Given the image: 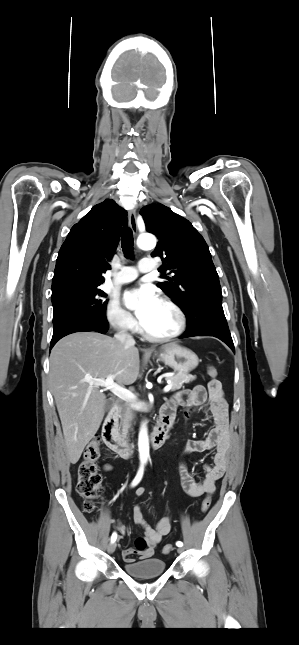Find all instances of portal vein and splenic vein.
Masks as SVG:
<instances>
[{
	"mask_svg": "<svg viewBox=\"0 0 299 645\" xmlns=\"http://www.w3.org/2000/svg\"><path fill=\"white\" fill-rule=\"evenodd\" d=\"M87 382L89 384H91V385H94V386H97V387L101 386V387H104V388L110 390L115 396L119 397L120 399H122L124 401H132V400L136 399V396L132 392H130L127 389L117 385L114 382V376H112V375L108 376L106 379H89V380H87ZM171 387H172V385H171V383H169L168 385H166L164 387L163 391L165 393L169 392L171 390Z\"/></svg>",
	"mask_w": 299,
	"mask_h": 645,
	"instance_id": "obj_1",
	"label": "portal vein and splenic vein"
}]
</instances>
